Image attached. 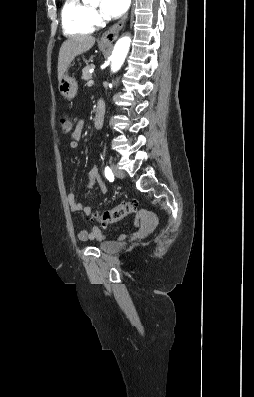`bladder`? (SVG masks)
<instances>
[{
	"label": "bladder",
	"mask_w": 254,
	"mask_h": 397,
	"mask_svg": "<svg viewBox=\"0 0 254 397\" xmlns=\"http://www.w3.org/2000/svg\"><path fill=\"white\" fill-rule=\"evenodd\" d=\"M98 247L104 253L114 254L120 251L122 245L119 242L108 240L101 242Z\"/></svg>",
	"instance_id": "31cf9c89"
}]
</instances>
